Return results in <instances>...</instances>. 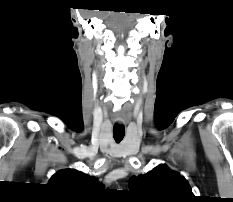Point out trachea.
I'll return each mask as SVG.
<instances>
[{
    "label": "trachea",
    "instance_id": "1",
    "mask_svg": "<svg viewBox=\"0 0 233 202\" xmlns=\"http://www.w3.org/2000/svg\"><path fill=\"white\" fill-rule=\"evenodd\" d=\"M125 135V127L120 125H114L113 127V137L116 142H120Z\"/></svg>",
    "mask_w": 233,
    "mask_h": 202
}]
</instances>
